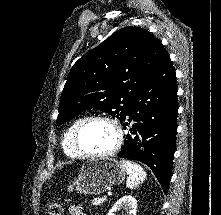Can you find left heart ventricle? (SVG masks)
Segmentation results:
<instances>
[{"label":"left heart ventricle","instance_id":"obj_1","mask_svg":"<svg viewBox=\"0 0 221 215\" xmlns=\"http://www.w3.org/2000/svg\"><path fill=\"white\" fill-rule=\"evenodd\" d=\"M115 141L112 126L104 121L90 123L81 133L80 145L86 152L101 153L109 150Z\"/></svg>","mask_w":221,"mask_h":215}]
</instances>
